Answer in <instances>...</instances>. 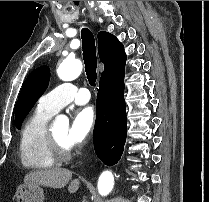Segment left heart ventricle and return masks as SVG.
<instances>
[{
  "label": "left heart ventricle",
  "mask_w": 209,
  "mask_h": 202,
  "mask_svg": "<svg viewBox=\"0 0 209 202\" xmlns=\"http://www.w3.org/2000/svg\"><path fill=\"white\" fill-rule=\"evenodd\" d=\"M52 131L58 140H60L63 144L68 145L66 142V136L68 131L67 125L56 126L52 129Z\"/></svg>",
  "instance_id": "1"
}]
</instances>
